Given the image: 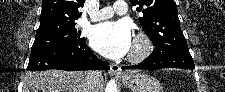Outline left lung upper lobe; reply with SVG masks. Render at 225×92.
Wrapping results in <instances>:
<instances>
[{
	"label": "left lung upper lobe",
	"instance_id": "left-lung-upper-lobe-1",
	"mask_svg": "<svg viewBox=\"0 0 225 92\" xmlns=\"http://www.w3.org/2000/svg\"><path fill=\"white\" fill-rule=\"evenodd\" d=\"M143 13L139 22L155 46L153 52L189 51L174 0H130Z\"/></svg>",
	"mask_w": 225,
	"mask_h": 92
}]
</instances>
